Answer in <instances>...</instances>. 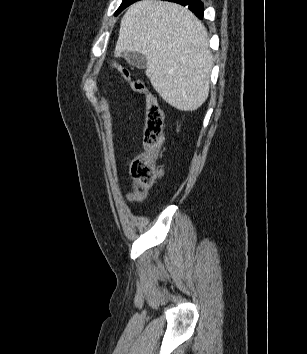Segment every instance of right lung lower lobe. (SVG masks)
<instances>
[{
	"label": "right lung lower lobe",
	"instance_id": "obj_1",
	"mask_svg": "<svg viewBox=\"0 0 307 354\" xmlns=\"http://www.w3.org/2000/svg\"><path fill=\"white\" fill-rule=\"evenodd\" d=\"M171 2L179 3L183 6H188V8L195 13L198 18H203V3L200 0H166Z\"/></svg>",
	"mask_w": 307,
	"mask_h": 354
}]
</instances>
